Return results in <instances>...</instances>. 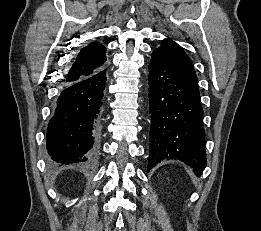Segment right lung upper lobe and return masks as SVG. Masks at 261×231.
<instances>
[{
  "label": "right lung upper lobe",
  "mask_w": 261,
  "mask_h": 231,
  "mask_svg": "<svg viewBox=\"0 0 261 231\" xmlns=\"http://www.w3.org/2000/svg\"><path fill=\"white\" fill-rule=\"evenodd\" d=\"M105 52L106 48L97 42H92L83 47L75 58L64 80L65 83L78 81L103 68L106 63Z\"/></svg>",
  "instance_id": "right-lung-upper-lobe-1"
}]
</instances>
